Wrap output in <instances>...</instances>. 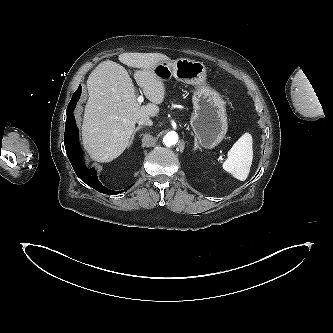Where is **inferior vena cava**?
<instances>
[{
    "instance_id": "inferior-vena-cava-1",
    "label": "inferior vena cava",
    "mask_w": 333,
    "mask_h": 333,
    "mask_svg": "<svg viewBox=\"0 0 333 333\" xmlns=\"http://www.w3.org/2000/svg\"><path fill=\"white\" fill-rule=\"evenodd\" d=\"M137 123L139 125H146V126H151L153 124L152 120L149 117H142L137 121Z\"/></svg>"
}]
</instances>
